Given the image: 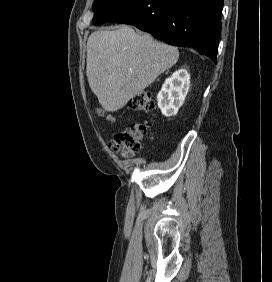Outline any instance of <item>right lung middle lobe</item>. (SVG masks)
<instances>
[{"label":"right lung middle lobe","mask_w":272,"mask_h":282,"mask_svg":"<svg viewBox=\"0 0 272 282\" xmlns=\"http://www.w3.org/2000/svg\"><path fill=\"white\" fill-rule=\"evenodd\" d=\"M136 0H94L93 24L101 25L108 22Z\"/></svg>","instance_id":"right-lung-middle-lobe-1"}]
</instances>
